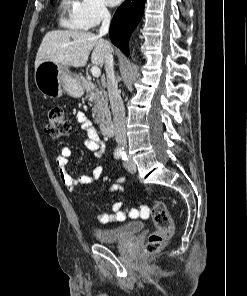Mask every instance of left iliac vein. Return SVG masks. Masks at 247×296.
Here are the masks:
<instances>
[{
	"label": "left iliac vein",
	"mask_w": 247,
	"mask_h": 296,
	"mask_svg": "<svg viewBox=\"0 0 247 296\" xmlns=\"http://www.w3.org/2000/svg\"><path fill=\"white\" fill-rule=\"evenodd\" d=\"M125 167L126 169L131 172V173H134L136 172V165L134 164L133 161L131 160H128L126 163H125Z\"/></svg>",
	"instance_id": "left-iliac-vein-1"
}]
</instances>
